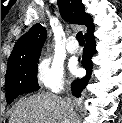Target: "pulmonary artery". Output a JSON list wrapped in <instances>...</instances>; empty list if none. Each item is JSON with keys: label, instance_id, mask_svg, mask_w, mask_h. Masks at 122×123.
Masks as SVG:
<instances>
[{"label": "pulmonary artery", "instance_id": "e3ab8cb5", "mask_svg": "<svg viewBox=\"0 0 122 123\" xmlns=\"http://www.w3.org/2000/svg\"><path fill=\"white\" fill-rule=\"evenodd\" d=\"M66 48L68 50L69 53H76L79 50V46L77 44V41L74 37H70L68 39Z\"/></svg>", "mask_w": 122, "mask_h": 123}]
</instances>
